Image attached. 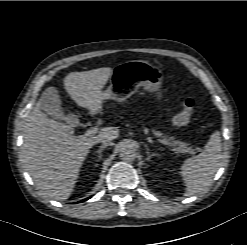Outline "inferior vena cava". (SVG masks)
Listing matches in <instances>:
<instances>
[{"instance_id":"obj_1","label":"inferior vena cava","mask_w":247,"mask_h":245,"mask_svg":"<svg viewBox=\"0 0 247 245\" xmlns=\"http://www.w3.org/2000/svg\"><path fill=\"white\" fill-rule=\"evenodd\" d=\"M100 142L102 143L103 146H108L113 144L112 140L107 138L102 139Z\"/></svg>"}]
</instances>
